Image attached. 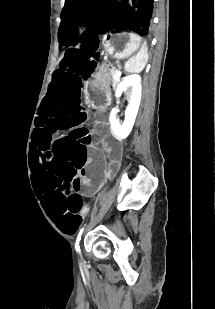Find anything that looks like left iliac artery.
Here are the masks:
<instances>
[{
  "label": "left iliac artery",
  "mask_w": 215,
  "mask_h": 309,
  "mask_svg": "<svg viewBox=\"0 0 215 309\" xmlns=\"http://www.w3.org/2000/svg\"><path fill=\"white\" fill-rule=\"evenodd\" d=\"M83 230H84V227H82L77 235V238H76V242H75V250L76 252L80 253L81 250H80V246H79V242L81 240V235L83 233Z\"/></svg>",
  "instance_id": "obj_1"
}]
</instances>
